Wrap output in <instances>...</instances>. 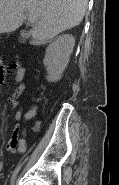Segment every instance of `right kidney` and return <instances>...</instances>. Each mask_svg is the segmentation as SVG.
<instances>
[{
  "label": "right kidney",
  "instance_id": "obj_1",
  "mask_svg": "<svg viewBox=\"0 0 119 185\" xmlns=\"http://www.w3.org/2000/svg\"><path fill=\"white\" fill-rule=\"evenodd\" d=\"M75 45V38L65 34L55 39L46 49L43 60L49 82H56L61 79L62 73L68 65L70 55Z\"/></svg>",
  "mask_w": 119,
  "mask_h": 185
}]
</instances>
